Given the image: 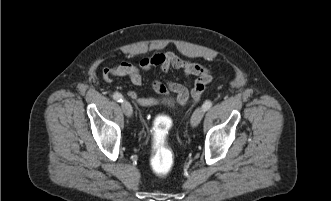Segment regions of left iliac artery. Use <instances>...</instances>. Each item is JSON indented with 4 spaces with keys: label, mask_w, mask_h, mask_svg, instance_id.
Here are the masks:
<instances>
[{
    "label": "left iliac artery",
    "mask_w": 331,
    "mask_h": 201,
    "mask_svg": "<svg viewBox=\"0 0 331 201\" xmlns=\"http://www.w3.org/2000/svg\"><path fill=\"white\" fill-rule=\"evenodd\" d=\"M203 109L205 111L209 110L211 107H212V102L211 101H206L204 104H203Z\"/></svg>",
    "instance_id": "44dca946"
}]
</instances>
